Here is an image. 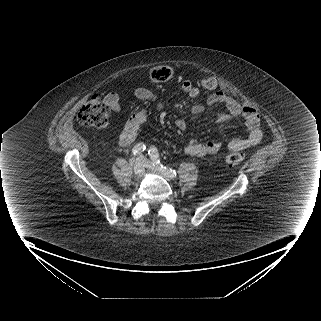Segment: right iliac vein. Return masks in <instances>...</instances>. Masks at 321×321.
Here are the masks:
<instances>
[{"label":"right iliac vein","mask_w":321,"mask_h":321,"mask_svg":"<svg viewBox=\"0 0 321 321\" xmlns=\"http://www.w3.org/2000/svg\"><path fill=\"white\" fill-rule=\"evenodd\" d=\"M131 164H134V174L141 176L144 173L145 166L141 159L131 160Z\"/></svg>","instance_id":"obj_1"}]
</instances>
